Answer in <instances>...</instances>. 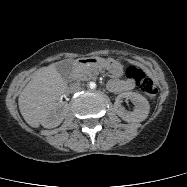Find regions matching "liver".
Instances as JSON below:
<instances>
[{"instance_id":"obj_1","label":"liver","mask_w":187,"mask_h":187,"mask_svg":"<svg viewBox=\"0 0 187 187\" xmlns=\"http://www.w3.org/2000/svg\"><path fill=\"white\" fill-rule=\"evenodd\" d=\"M56 64L37 70L18 98L21 115L30 126L37 128L67 91V82Z\"/></svg>"}]
</instances>
